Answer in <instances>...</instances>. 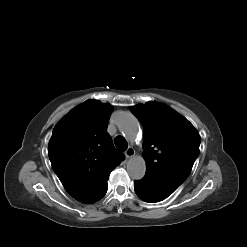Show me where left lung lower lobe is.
Instances as JSON below:
<instances>
[{
	"label": "left lung lower lobe",
	"instance_id": "0a47b994",
	"mask_svg": "<svg viewBox=\"0 0 247 247\" xmlns=\"http://www.w3.org/2000/svg\"><path fill=\"white\" fill-rule=\"evenodd\" d=\"M134 190L140 199L148 203L160 202L170 196L146 178L135 181Z\"/></svg>",
	"mask_w": 247,
	"mask_h": 247
}]
</instances>
